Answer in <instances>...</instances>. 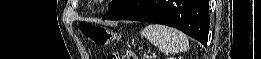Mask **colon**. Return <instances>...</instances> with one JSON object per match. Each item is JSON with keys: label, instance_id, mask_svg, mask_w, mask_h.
<instances>
[{"label": "colon", "instance_id": "colon-1", "mask_svg": "<svg viewBox=\"0 0 261 59\" xmlns=\"http://www.w3.org/2000/svg\"><path fill=\"white\" fill-rule=\"evenodd\" d=\"M80 30L86 38L98 46L108 45L116 39L112 31L99 25L81 24ZM121 57L117 53H112L108 56V59H120ZM123 57L126 59H136V56L132 52H127Z\"/></svg>", "mask_w": 261, "mask_h": 59}]
</instances>
